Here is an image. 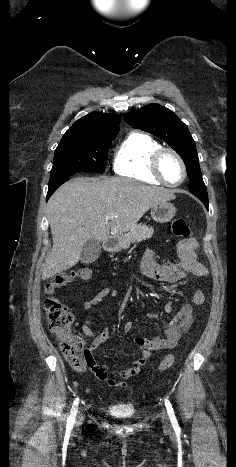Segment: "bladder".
Returning a JSON list of instances; mask_svg holds the SVG:
<instances>
[{"label": "bladder", "instance_id": "31cf9c89", "mask_svg": "<svg viewBox=\"0 0 236 467\" xmlns=\"http://www.w3.org/2000/svg\"><path fill=\"white\" fill-rule=\"evenodd\" d=\"M113 411L117 413L120 417H131L134 413V410L131 407H117L113 409Z\"/></svg>", "mask_w": 236, "mask_h": 467}]
</instances>
